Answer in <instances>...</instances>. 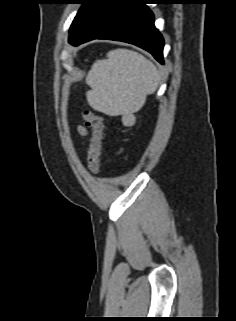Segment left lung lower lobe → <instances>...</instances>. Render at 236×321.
<instances>
[{"instance_id": "0a47b994", "label": "left lung lower lobe", "mask_w": 236, "mask_h": 321, "mask_svg": "<svg viewBox=\"0 0 236 321\" xmlns=\"http://www.w3.org/2000/svg\"><path fill=\"white\" fill-rule=\"evenodd\" d=\"M150 3L152 0H94L69 43L78 46L93 39L123 41L147 50L164 64V40L146 6Z\"/></svg>"}]
</instances>
